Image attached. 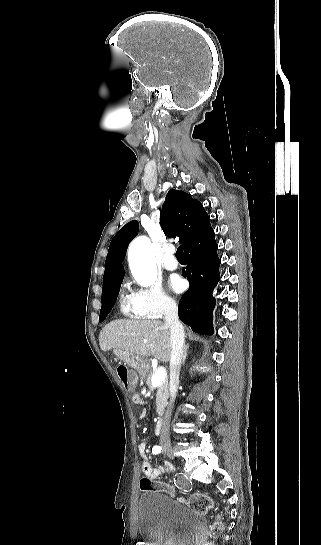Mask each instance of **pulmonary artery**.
Returning a JSON list of instances; mask_svg holds the SVG:
<instances>
[{"label": "pulmonary artery", "instance_id": "e3ab8cb5", "mask_svg": "<svg viewBox=\"0 0 321 545\" xmlns=\"http://www.w3.org/2000/svg\"><path fill=\"white\" fill-rule=\"evenodd\" d=\"M165 257H168V254H165ZM161 265L164 269L170 270V271L178 268L177 260L164 259L161 261Z\"/></svg>", "mask_w": 321, "mask_h": 545}]
</instances>
